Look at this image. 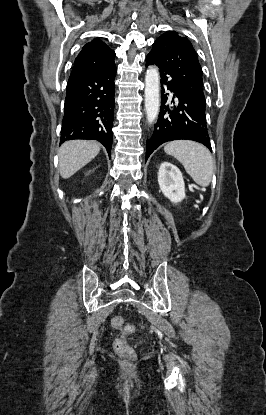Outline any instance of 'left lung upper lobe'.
<instances>
[{"label":"left lung upper lobe","mask_w":266,"mask_h":415,"mask_svg":"<svg viewBox=\"0 0 266 415\" xmlns=\"http://www.w3.org/2000/svg\"><path fill=\"white\" fill-rule=\"evenodd\" d=\"M149 54L154 57L160 68L205 109L202 69L197 53L186 37H181L175 31H168L157 38Z\"/></svg>","instance_id":"5c2ea615"}]
</instances>
